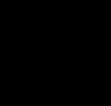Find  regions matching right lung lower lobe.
<instances>
[{
	"label": "right lung lower lobe",
	"instance_id": "98d812e1",
	"mask_svg": "<svg viewBox=\"0 0 111 106\" xmlns=\"http://www.w3.org/2000/svg\"><path fill=\"white\" fill-rule=\"evenodd\" d=\"M51 0L0 1V75L24 70L54 23Z\"/></svg>",
	"mask_w": 111,
	"mask_h": 106
}]
</instances>
